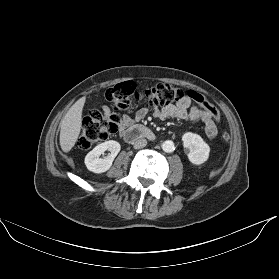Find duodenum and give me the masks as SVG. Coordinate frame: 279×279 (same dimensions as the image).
Listing matches in <instances>:
<instances>
[{
	"mask_svg": "<svg viewBox=\"0 0 279 279\" xmlns=\"http://www.w3.org/2000/svg\"><path fill=\"white\" fill-rule=\"evenodd\" d=\"M122 137L126 142L131 143L139 139L155 140L157 135L144 126L134 125L131 128L124 130L122 132Z\"/></svg>",
	"mask_w": 279,
	"mask_h": 279,
	"instance_id": "1",
	"label": "duodenum"
}]
</instances>
